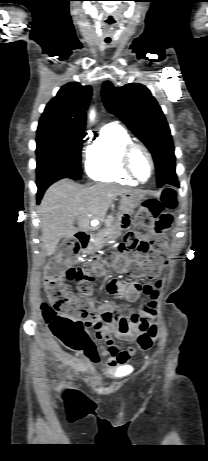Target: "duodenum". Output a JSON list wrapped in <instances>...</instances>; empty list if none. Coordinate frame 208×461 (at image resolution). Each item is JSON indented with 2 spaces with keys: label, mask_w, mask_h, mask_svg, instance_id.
<instances>
[{
  "label": "duodenum",
  "mask_w": 208,
  "mask_h": 461,
  "mask_svg": "<svg viewBox=\"0 0 208 461\" xmlns=\"http://www.w3.org/2000/svg\"><path fill=\"white\" fill-rule=\"evenodd\" d=\"M89 233H84L82 234L81 238H83L84 240H86L87 242H89Z\"/></svg>",
  "instance_id": "410a0bca"
}]
</instances>
